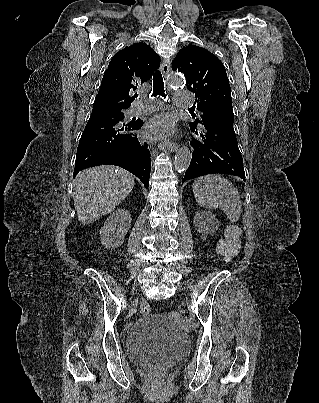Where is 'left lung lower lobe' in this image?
I'll list each match as a JSON object with an SVG mask.
<instances>
[{
    "label": "left lung lower lobe",
    "instance_id": "left-lung-lower-lobe-1",
    "mask_svg": "<svg viewBox=\"0 0 319 403\" xmlns=\"http://www.w3.org/2000/svg\"><path fill=\"white\" fill-rule=\"evenodd\" d=\"M233 121V115H219L203 121L199 126L191 124L199 139L192 142L194 151L183 182L209 173L230 174L245 180Z\"/></svg>",
    "mask_w": 319,
    "mask_h": 403
}]
</instances>
